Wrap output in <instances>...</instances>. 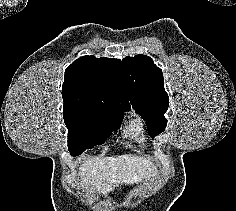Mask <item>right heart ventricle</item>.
Returning <instances> with one entry per match:
<instances>
[{
  "label": "right heart ventricle",
  "instance_id": "obj_1",
  "mask_svg": "<svg viewBox=\"0 0 236 211\" xmlns=\"http://www.w3.org/2000/svg\"><path fill=\"white\" fill-rule=\"evenodd\" d=\"M124 134L134 142L142 143L143 128L139 118H134L124 128Z\"/></svg>",
  "mask_w": 236,
  "mask_h": 211
}]
</instances>
